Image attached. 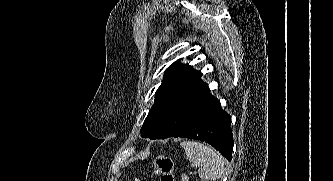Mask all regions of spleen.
<instances>
[{
  "instance_id": "spleen-1",
  "label": "spleen",
  "mask_w": 333,
  "mask_h": 181,
  "mask_svg": "<svg viewBox=\"0 0 333 181\" xmlns=\"http://www.w3.org/2000/svg\"><path fill=\"white\" fill-rule=\"evenodd\" d=\"M191 166L198 168L199 177L205 181H215L222 177L225 170L224 158L205 144L195 141H182Z\"/></svg>"
}]
</instances>
